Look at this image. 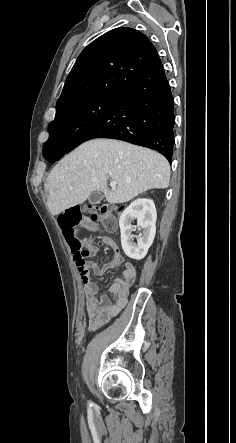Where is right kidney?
<instances>
[{"mask_svg": "<svg viewBox=\"0 0 236 443\" xmlns=\"http://www.w3.org/2000/svg\"><path fill=\"white\" fill-rule=\"evenodd\" d=\"M135 219L138 230H142V234L137 237V243L133 242L134 226L131 224ZM156 219L157 212L151 199H136L124 210L119 219V226L121 245L128 257L136 260L145 257L155 237Z\"/></svg>", "mask_w": 236, "mask_h": 443, "instance_id": "1", "label": "right kidney"}]
</instances>
